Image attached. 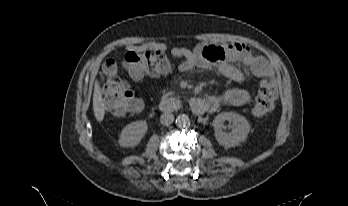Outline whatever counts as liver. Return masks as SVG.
I'll list each match as a JSON object with an SVG mask.
<instances>
[{"label":"liver","instance_id":"obj_1","mask_svg":"<svg viewBox=\"0 0 348 206\" xmlns=\"http://www.w3.org/2000/svg\"><path fill=\"white\" fill-rule=\"evenodd\" d=\"M93 110L96 120L98 122H101L104 119L105 115V102L102 98V92L99 83H96L94 87Z\"/></svg>","mask_w":348,"mask_h":206}]
</instances>
